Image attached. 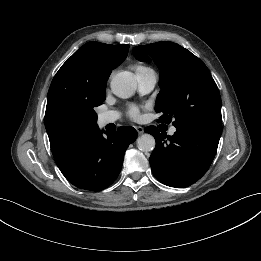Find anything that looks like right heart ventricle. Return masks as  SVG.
<instances>
[{"label": "right heart ventricle", "instance_id": "obj_1", "mask_svg": "<svg viewBox=\"0 0 261 261\" xmlns=\"http://www.w3.org/2000/svg\"><path fill=\"white\" fill-rule=\"evenodd\" d=\"M133 69L136 73V76L146 74L149 72H154V70L151 67L144 64H135L133 65Z\"/></svg>", "mask_w": 261, "mask_h": 261}]
</instances>
